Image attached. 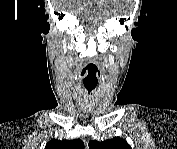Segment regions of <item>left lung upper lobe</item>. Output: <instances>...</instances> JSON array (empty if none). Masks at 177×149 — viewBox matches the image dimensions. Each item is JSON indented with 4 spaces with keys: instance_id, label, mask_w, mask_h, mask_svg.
<instances>
[{
    "instance_id": "5c2ea615",
    "label": "left lung upper lobe",
    "mask_w": 177,
    "mask_h": 149,
    "mask_svg": "<svg viewBox=\"0 0 177 149\" xmlns=\"http://www.w3.org/2000/svg\"><path fill=\"white\" fill-rule=\"evenodd\" d=\"M90 149H131L130 145L120 137H114L103 142L96 140L89 142Z\"/></svg>"
}]
</instances>
